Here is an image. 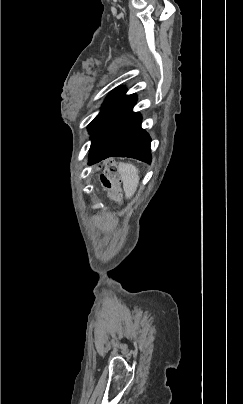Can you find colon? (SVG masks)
<instances>
[{"mask_svg":"<svg viewBox=\"0 0 243 404\" xmlns=\"http://www.w3.org/2000/svg\"><path fill=\"white\" fill-rule=\"evenodd\" d=\"M102 182L109 191L112 198L117 199L120 196V177L117 167L111 165L106 172L102 175Z\"/></svg>","mask_w":243,"mask_h":404,"instance_id":"colon-1","label":"colon"}]
</instances>
